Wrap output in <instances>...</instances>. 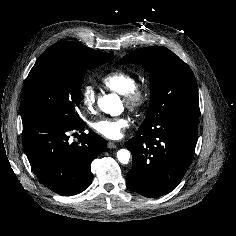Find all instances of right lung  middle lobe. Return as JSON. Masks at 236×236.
I'll return each instance as SVG.
<instances>
[{"label":"right lung middle lobe","mask_w":236,"mask_h":236,"mask_svg":"<svg viewBox=\"0 0 236 236\" xmlns=\"http://www.w3.org/2000/svg\"><path fill=\"white\" fill-rule=\"evenodd\" d=\"M113 53L92 57L74 55L64 43L50 46L36 61L23 88L22 122L37 118L59 119L72 124L82 119L77 113L81 84L86 70L108 62Z\"/></svg>","instance_id":"1"}]
</instances>
